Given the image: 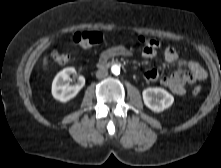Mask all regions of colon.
Here are the masks:
<instances>
[{
	"instance_id": "colon-1",
	"label": "colon",
	"mask_w": 221,
	"mask_h": 168,
	"mask_svg": "<svg viewBox=\"0 0 221 168\" xmlns=\"http://www.w3.org/2000/svg\"><path fill=\"white\" fill-rule=\"evenodd\" d=\"M103 40V35L99 31H80L74 35V41L84 47L99 44ZM138 41L144 46L149 48H157L159 43L145 36H139ZM52 60L57 64H65L69 61L70 56L60 50L53 51L51 55ZM201 93V87L196 86L193 89V94L198 95Z\"/></svg>"
}]
</instances>
